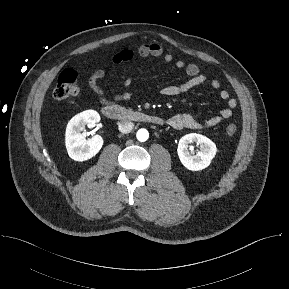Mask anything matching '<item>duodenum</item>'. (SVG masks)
Masks as SVG:
<instances>
[{"mask_svg": "<svg viewBox=\"0 0 289 289\" xmlns=\"http://www.w3.org/2000/svg\"><path fill=\"white\" fill-rule=\"evenodd\" d=\"M101 112L103 116L109 119L142 122V123H149V124H154V125L164 124V120L159 116L125 109L114 104L104 106Z\"/></svg>", "mask_w": 289, "mask_h": 289, "instance_id": "410a0bca", "label": "duodenum"}]
</instances>
